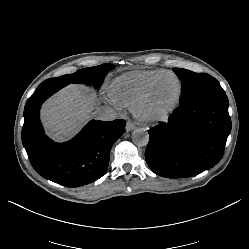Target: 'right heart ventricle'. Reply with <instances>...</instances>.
I'll list each match as a JSON object with an SVG mask.
<instances>
[{"label": "right heart ventricle", "instance_id": "e07e8e85", "mask_svg": "<svg viewBox=\"0 0 249 249\" xmlns=\"http://www.w3.org/2000/svg\"><path fill=\"white\" fill-rule=\"evenodd\" d=\"M169 72L166 69L133 70L115 77L109 85L110 96L129 107L144 88L157 76Z\"/></svg>", "mask_w": 249, "mask_h": 249}]
</instances>
